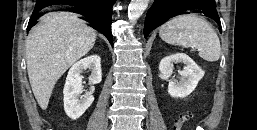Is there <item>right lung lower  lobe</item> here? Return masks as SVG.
<instances>
[{"label":"right lung lower lobe","mask_w":257,"mask_h":130,"mask_svg":"<svg viewBox=\"0 0 257 130\" xmlns=\"http://www.w3.org/2000/svg\"><path fill=\"white\" fill-rule=\"evenodd\" d=\"M116 0H92L83 1L77 4H67L55 1H41L37 0L34 11L28 23L27 30L37 23V19L42 16L40 11L46 7L58 4L72 5L79 8V14L82 15L81 19L90 23V26L95 30L103 33L110 44L113 45V38L111 33V19L112 7Z\"/></svg>","instance_id":"right-lung-lower-lobe-1"}]
</instances>
